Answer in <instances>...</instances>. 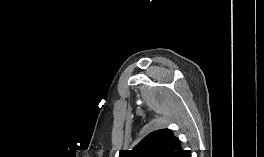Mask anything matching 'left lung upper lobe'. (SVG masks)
Returning <instances> with one entry per match:
<instances>
[{"instance_id":"left-lung-upper-lobe-1","label":"left lung upper lobe","mask_w":264,"mask_h":157,"mask_svg":"<svg viewBox=\"0 0 264 157\" xmlns=\"http://www.w3.org/2000/svg\"><path fill=\"white\" fill-rule=\"evenodd\" d=\"M180 140L169 129L154 131L142 139L132 150H121L119 157H189Z\"/></svg>"}]
</instances>
